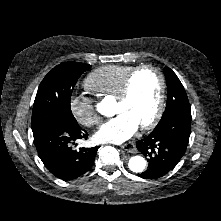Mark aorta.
<instances>
[{"instance_id": "aorta-1", "label": "aorta", "mask_w": 221, "mask_h": 221, "mask_svg": "<svg viewBox=\"0 0 221 221\" xmlns=\"http://www.w3.org/2000/svg\"><path fill=\"white\" fill-rule=\"evenodd\" d=\"M98 109L101 113H105L107 106L102 103L98 106ZM128 167L131 171H133L135 173H140L145 169L146 161L141 156H133L129 160Z\"/></svg>"}]
</instances>
